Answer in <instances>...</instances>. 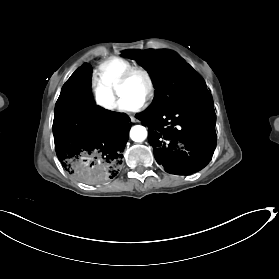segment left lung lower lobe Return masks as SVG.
<instances>
[{
  "label": "left lung lower lobe",
  "instance_id": "1",
  "mask_svg": "<svg viewBox=\"0 0 279 279\" xmlns=\"http://www.w3.org/2000/svg\"><path fill=\"white\" fill-rule=\"evenodd\" d=\"M136 117L149 128L154 157L166 172L189 175L211 160L216 144V115L207 89L157 115L141 113Z\"/></svg>",
  "mask_w": 279,
  "mask_h": 279
}]
</instances>
